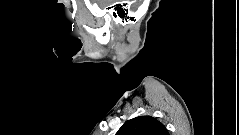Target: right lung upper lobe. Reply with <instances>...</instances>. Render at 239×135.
<instances>
[{"mask_svg":"<svg viewBox=\"0 0 239 135\" xmlns=\"http://www.w3.org/2000/svg\"><path fill=\"white\" fill-rule=\"evenodd\" d=\"M116 135H169V132L156 118L139 116L126 121Z\"/></svg>","mask_w":239,"mask_h":135,"instance_id":"1","label":"right lung upper lobe"}]
</instances>
